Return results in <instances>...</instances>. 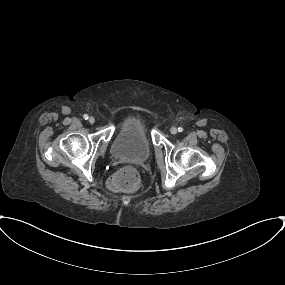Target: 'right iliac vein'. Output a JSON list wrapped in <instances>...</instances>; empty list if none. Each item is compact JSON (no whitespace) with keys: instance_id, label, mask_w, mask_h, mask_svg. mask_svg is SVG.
I'll use <instances>...</instances> for the list:
<instances>
[{"instance_id":"obj_1","label":"right iliac vein","mask_w":285,"mask_h":285,"mask_svg":"<svg viewBox=\"0 0 285 285\" xmlns=\"http://www.w3.org/2000/svg\"><path fill=\"white\" fill-rule=\"evenodd\" d=\"M89 123H91V124L95 123V118L94 117H90L89 118Z\"/></svg>"}]
</instances>
